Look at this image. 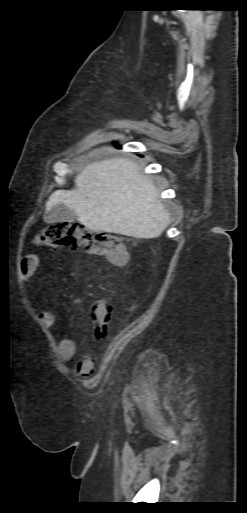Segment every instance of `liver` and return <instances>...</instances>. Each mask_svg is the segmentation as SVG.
Returning <instances> with one entry per match:
<instances>
[{
	"mask_svg": "<svg viewBox=\"0 0 247 513\" xmlns=\"http://www.w3.org/2000/svg\"><path fill=\"white\" fill-rule=\"evenodd\" d=\"M74 182L75 188L51 194L45 216L57 204H64L90 230L145 239L159 236L170 224L152 178L132 159L88 164Z\"/></svg>",
	"mask_w": 247,
	"mask_h": 513,
	"instance_id": "1",
	"label": "liver"
}]
</instances>
